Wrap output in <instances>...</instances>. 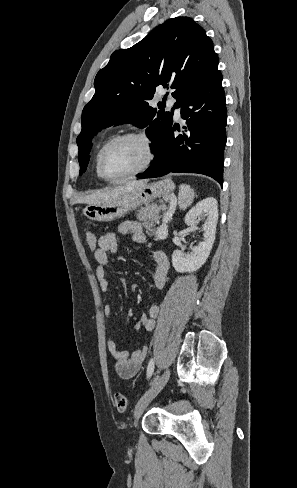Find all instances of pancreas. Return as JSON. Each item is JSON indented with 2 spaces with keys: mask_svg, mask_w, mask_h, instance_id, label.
<instances>
[{
  "mask_svg": "<svg viewBox=\"0 0 297 488\" xmlns=\"http://www.w3.org/2000/svg\"><path fill=\"white\" fill-rule=\"evenodd\" d=\"M136 218L139 221H143V225L148 228L153 226L155 222H158L160 219L158 208L156 205H149L142 208L138 214H136Z\"/></svg>",
  "mask_w": 297,
  "mask_h": 488,
  "instance_id": "pancreas-1",
  "label": "pancreas"
}]
</instances>
